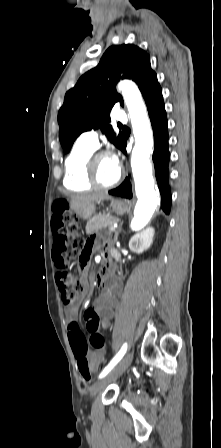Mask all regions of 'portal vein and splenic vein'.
I'll use <instances>...</instances> for the list:
<instances>
[{
  "label": "portal vein and splenic vein",
  "mask_w": 221,
  "mask_h": 448,
  "mask_svg": "<svg viewBox=\"0 0 221 448\" xmlns=\"http://www.w3.org/2000/svg\"><path fill=\"white\" fill-rule=\"evenodd\" d=\"M117 228V224H113L112 226L109 227L110 231H115V229Z\"/></svg>",
  "instance_id": "obj_1"
}]
</instances>
